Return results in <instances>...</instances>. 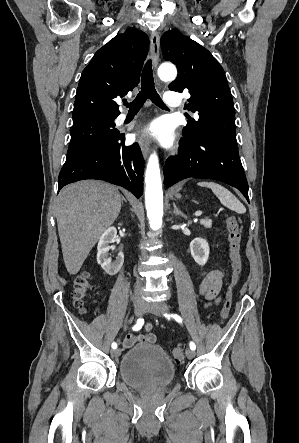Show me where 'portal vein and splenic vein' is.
Listing matches in <instances>:
<instances>
[{
  "instance_id": "obj_1",
  "label": "portal vein and splenic vein",
  "mask_w": 299,
  "mask_h": 443,
  "mask_svg": "<svg viewBox=\"0 0 299 443\" xmlns=\"http://www.w3.org/2000/svg\"><path fill=\"white\" fill-rule=\"evenodd\" d=\"M202 215V211H197V212H195V216L196 217H199V216H201Z\"/></svg>"
}]
</instances>
